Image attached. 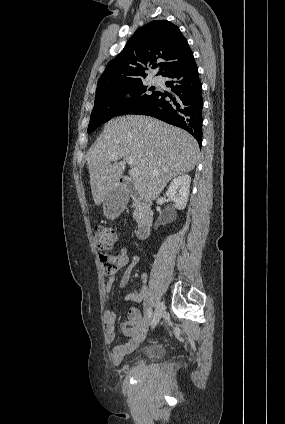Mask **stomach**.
I'll return each instance as SVG.
<instances>
[{"instance_id": "obj_1", "label": "stomach", "mask_w": 285, "mask_h": 424, "mask_svg": "<svg viewBox=\"0 0 285 424\" xmlns=\"http://www.w3.org/2000/svg\"><path fill=\"white\" fill-rule=\"evenodd\" d=\"M124 207L123 197L115 190L111 191L103 201V212L104 215L113 219L119 215Z\"/></svg>"}]
</instances>
